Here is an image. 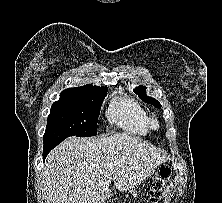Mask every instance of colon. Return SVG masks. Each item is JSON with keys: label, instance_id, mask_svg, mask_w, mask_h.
Instances as JSON below:
<instances>
[{"label": "colon", "instance_id": "5ec220e1", "mask_svg": "<svg viewBox=\"0 0 222 203\" xmlns=\"http://www.w3.org/2000/svg\"><path fill=\"white\" fill-rule=\"evenodd\" d=\"M171 175V170L168 166H162L159 168L158 173L153 181V186L150 191V198L152 203H157L161 196L166 182L168 181Z\"/></svg>", "mask_w": 222, "mask_h": 203}]
</instances>
